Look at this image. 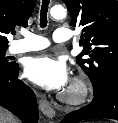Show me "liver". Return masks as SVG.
Returning a JSON list of instances; mask_svg holds the SVG:
<instances>
[{
    "label": "liver",
    "instance_id": "liver-1",
    "mask_svg": "<svg viewBox=\"0 0 118 123\" xmlns=\"http://www.w3.org/2000/svg\"><path fill=\"white\" fill-rule=\"evenodd\" d=\"M0 123H18V120L10 112L0 106Z\"/></svg>",
    "mask_w": 118,
    "mask_h": 123
}]
</instances>
